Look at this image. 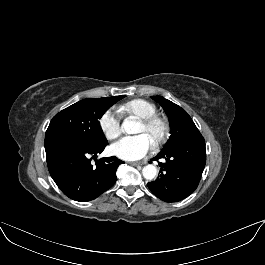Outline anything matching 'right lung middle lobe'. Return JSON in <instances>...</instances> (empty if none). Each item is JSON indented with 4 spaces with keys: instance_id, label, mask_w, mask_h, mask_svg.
<instances>
[{
    "instance_id": "right-lung-middle-lobe-1",
    "label": "right lung middle lobe",
    "mask_w": 265,
    "mask_h": 265,
    "mask_svg": "<svg viewBox=\"0 0 265 265\" xmlns=\"http://www.w3.org/2000/svg\"><path fill=\"white\" fill-rule=\"evenodd\" d=\"M124 97L83 99L56 114L45 136H73L92 144L106 142L100 130L99 119L113 104Z\"/></svg>"
}]
</instances>
